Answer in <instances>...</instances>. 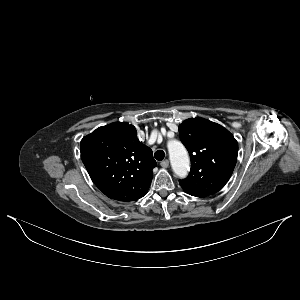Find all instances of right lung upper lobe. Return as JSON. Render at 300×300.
<instances>
[{"mask_svg": "<svg viewBox=\"0 0 300 300\" xmlns=\"http://www.w3.org/2000/svg\"><path fill=\"white\" fill-rule=\"evenodd\" d=\"M80 151L89 176L107 197L129 202L146 195L157 165L133 125L99 127L81 140Z\"/></svg>", "mask_w": 300, "mask_h": 300, "instance_id": "cb5924a9", "label": "right lung upper lobe"}]
</instances>
